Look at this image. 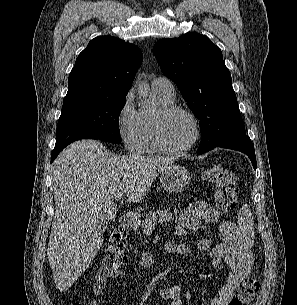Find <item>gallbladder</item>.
I'll return each mask as SVG.
<instances>
[{
    "label": "gallbladder",
    "mask_w": 297,
    "mask_h": 305,
    "mask_svg": "<svg viewBox=\"0 0 297 305\" xmlns=\"http://www.w3.org/2000/svg\"><path fill=\"white\" fill-rule=\"evenodd\" d=\"M107 228V224L105 221L103 220H100L97 225H96V231L99 233V234H102L103 232H105Z\"/></svg>",
    "instance_id": "gallbladder-1"
}]
</instances>
